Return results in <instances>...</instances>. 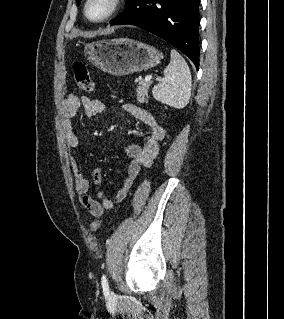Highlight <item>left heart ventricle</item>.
<instances>
[{"instance_id": "1", "label": "left heart ventricle", "mask_w": 284, "mask_h": 319, "mask_svg": "<svg viewBox=\"0 0 284 319\" xmlns=\"http://www.w3.org/2000/svg\"><path fill=\"white\" fill-rule=\"evenodd\" d=\"M110 0H91L88 6V13L91 18L99 19L109 10Z\"/></svg>"}]
</instances>
